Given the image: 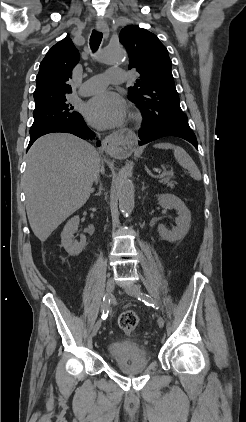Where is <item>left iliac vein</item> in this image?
I'll use <instances>...</instances> for the list:
<instances>
[{
	"label": "left iliac vein",
	"mask_w": 246,
	"mask_h": 422,
	"mask_svg": "<svg viewBox=\"0 0 246 422\" xmlns=\"http://www.w3.org/2000/svg\"><path fill=\"white\" fill-rule=\"evenodd\" d=\"M125 292L130 296H138L140 294V288L137 285H129L124 288ZM157 324L160 328L164 326V320L162 317H158Z\"/></svg>",
	"instance_id": "1"
}]
</instances>
